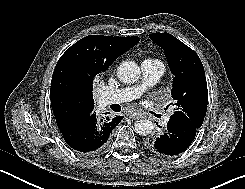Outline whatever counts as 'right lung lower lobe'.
Returning <instances> with one entry per match:
<instances>
[{
  "label": "right lung lower lobe",
  "mask_w": 245,
  "mask_h": 189,
  "mask_svg": "<svg viewBox=\"0 0 245 189\" xmlns=\"http://www.w3.org/2000/svg\"><path fill=\"white\" fill-rule=\"evenodd\" d=\"M122 116L110 119L92 111L87 117L60 129L66 143L80 153L98 152L105 147Z\"/></svg>",
  "instance_id": "1"
}]
</instances>
